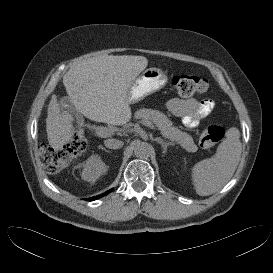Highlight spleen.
Instances as JSON below:
<instances>
[{
  "instance_id": "obj_1",
  "label": "spleen",
  "mask_w": 273,
  "mask_h": 273,
  "mask_svg": "<svg viewBox=\"0 0 273 273\" xmlns=\"http://www.w3.org/2000/svg\"><path fill=\"white\" fill-rule=\"evenodd\" d=\"M242 152L240 132L232 127L219 144L216 154L196 163L192 168V181L200 196L211 195L220 190L233 176Z\"/></svg>"
}]
</instances>
